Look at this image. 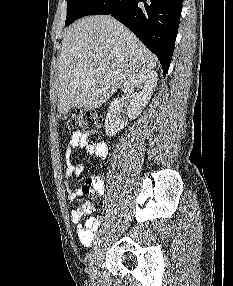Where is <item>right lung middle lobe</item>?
Masks as SVG:
<instances>
[{"mask_svg": "<svg viewBox=\"0 0 233 286\" xmlns=\"http://www.w3.org/2000/svg\"><path fill=\"white\" fill-rule=\"evenodd\" d=\"M95 0H67V17L65 25L68 26L75 20L81 17V15L90 7Z\"/></svg>", "mask_w": 233, "mask_h": 286, "instance_id": "right-lung-middle-lobe-1", "label": "right lung middle lobe"}]
</instances>
